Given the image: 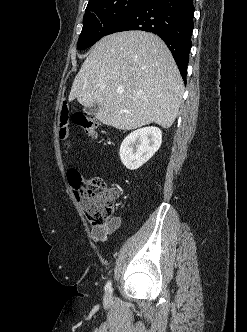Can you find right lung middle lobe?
I'll list each match as a JSON object with an SVG mask.
<instances>
[{
  "mask_svg": "<svg viewBox=\"0 0 247 332\" xmlns=\"http://www.w3.org/2000/svg\"><path fill=\"white\" fill-rule=\"evenodd\" d=\"M147 0H99L87 6L83 17V28L77 48L92 46L108 32L121 17L131 12Z\"/></svg>",
  "mask_w": 247,
  "mask_h": 332,
  "instance_id": "obj_1",
  "label": "right lung middle lobe"
}]
</instances>
